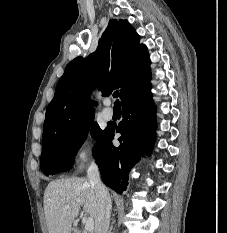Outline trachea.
<instances>
[{"mask_svg":"<svg viewBox=\"0 0 227 233\" xmlns=\"http://www.w3.org/2000/svg\"><path fill=\"white\" fill-rule=\"evenodd\" d=\"M118 95H119V91H115V92L113 93V97H114L115 99H117ZM114 105H115V106L120 105V102H119L118 100H116V101L114 102Z\"/></svg>","mask_w":227,"mask_h":233,"instance_id":"1","label":"trachea"}]
</instances>
